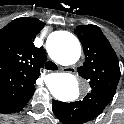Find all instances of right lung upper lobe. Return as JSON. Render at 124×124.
Wrapping results in <instances>:
<instances>
[{
  "label": "right lung upper lobe",
  "mask_w": 124,
  "mask_h": 124,
  "mask_svg": "<svg viewBox=\"0 0 124 124\" xmlns=\"http://www.w3.org/2000/svg\"><path fill=\"white\" fill-rule=\"evenodd\" d=\"M36 18L21 17L0 29V112L21 110L35 91L45 51L34 46L44 27Z\"/></svg>",
  "instance_id": "obj_1"
}]
</instances>
